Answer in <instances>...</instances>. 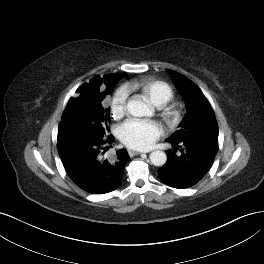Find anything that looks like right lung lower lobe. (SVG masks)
Listing matches in <instances>:
<instances>
[{"label": "right lung lower lobe", "instance_id": "98d812e1", "mask_svg": "<svg viewBox=\"0 0 264 264\" xmlns=\"http://www.w3.org/2000/svg\"><path fill=\"white\" fill-rule=\"evenodd\" d=\"M114 141L112 135L78 134L58 139V152L64 168L73 182L88 193L104 194L119 187L127 151L120 149L111 158L104 153Z\"/></svg>", "mask_w": 264, "mask_h": 264}]
</instances>
